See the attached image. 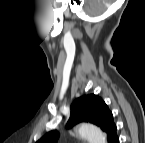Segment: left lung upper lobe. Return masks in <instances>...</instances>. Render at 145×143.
Listing matches in <instances>:
<instances>
[{"mask_svg":"<svg viewBox=\"0 0 145 143\" xmlns=\"http://www.w3.org/2000/svg\"><path fill=\"white\" fill-rule=\"evenodd\" d=\"M79 122H90L99 126L107 133L108 143L117 137L113 115L106 103L97 95H85L77 98L72 103L67 127L70 128ZM57 139V131H50L38 143H56Z\"/></svg>","mask_w":145,"mask_h":143,"instance_id":"1","label":"left lung upper lobe"}]
</instances>
